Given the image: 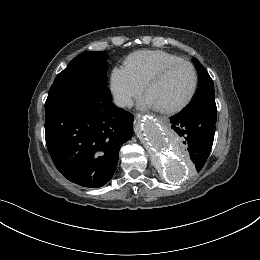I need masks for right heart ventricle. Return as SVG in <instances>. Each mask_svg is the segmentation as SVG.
I'll return each instance as SVG.
<instances>
[{
    "label": "right heart ventricle",
    "mask_w": 260,
    "mask_h": 260,
    "mask_svg": "<svg viewBox=\"0 0 260 260\" xmlns=\"http://www.w3.org/2000/svg\"><path fill=\"white\" fill-rule=\"evenodd\" d=\"M178 60H181V58L164 51L143 50L131 54L124 65L128 74L144 85L150 75L158 68Z\"/></svg>",
    "instance_id": "right-heart-ventricle-1"
}]
</instances>
